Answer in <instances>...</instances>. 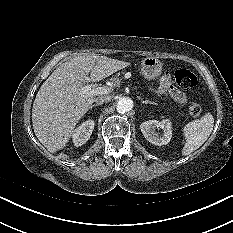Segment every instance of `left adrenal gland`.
<instances>
[{"mask_svg":"<svg viewBox=\"0 0 233 233\" xmlns=\"http://www.w3.org/2000/svg\"><path fill=\"white\" fill-rule=\"evenodd\" d=\"M143 104H153V105H157V103L149 101V100H142Z\"/></svg>","mask_w":233,"mask_h":233,"instance_id":"1","label":"left adrenal gland"}]
</instances>
